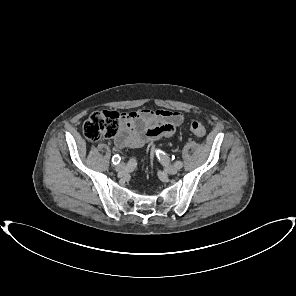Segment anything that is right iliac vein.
<instances>
[{
    "instance_id": "right-iliac-vein-1",
    "label": "right iliac vein",
    "mask_w": 296,
    "mask_h": 296,
    "mask_svg": "<svg viewBox=\"0 0 296 296\" xmlns=\"http://www.w3.org/2000/svg\"><path fill=\"white\" fill-rule=\"evenodd\" d=\"M125 169V164H123V163H120L117 167H116V170L117 171H122V170H124Z\"/></svg>"
}]
</instances>
